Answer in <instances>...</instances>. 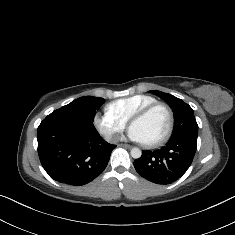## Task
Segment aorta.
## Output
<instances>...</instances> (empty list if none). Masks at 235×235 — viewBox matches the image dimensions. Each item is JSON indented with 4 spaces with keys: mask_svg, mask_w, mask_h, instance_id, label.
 <instances>
[{
    "mask_svg": "<svg viewBox=\"0 0 235 235\" xmlns=\"http://www.w3.org/2000/svg\"><path fill=\"white\" fill-rule=\"evenodd\" d=\"M131 156L134 159H138L142 156V151L139 148H132L131 149Z\"/></svg>",
    "mask_w": 235,
    "mask_h": 235,
    "instance_id": "1",
    "label": "aorta"
}]
</instances>
